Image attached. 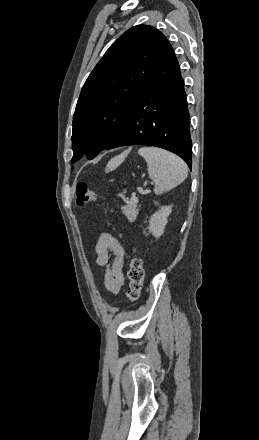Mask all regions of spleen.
Returning <instances> with one entry per match:
<instances>
[{"instance_id": "obj_1", "label": "spleen", "mask_w": 259, "mask_h": 440, "mask_svg": "<svg viewBox=\"0 0 259 440\" xmlns=\"http://www.w3.org/2000/svg\"><path fill=\"white\" fill-rule=\"evenodd\" d=\"M148 166L149 177L154 181L155 194H162L182 183L187 177V166L178 156L156 147L138 150Z\"/></svg>"}]
</instances>
